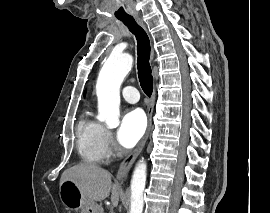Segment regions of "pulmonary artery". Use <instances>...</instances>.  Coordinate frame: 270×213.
Segmentation results:
<instances>
[{
  "mask_svg": "<svg viewBox=\"0 0 270 213\" xmlns=\"http://www.w3.org/2000/svg\"><path fill=\"white\" fill-rule=\"evenodd\" d=\"M122 96L129 103H137L140 99L138 90L131 86L125 87L122 90Z\"/></svg>",
  "mask_w": 270,
  "mask_h": 213,
  "instance_id": "1",
  "label": "pulmonary artery"
}]
</instances>
